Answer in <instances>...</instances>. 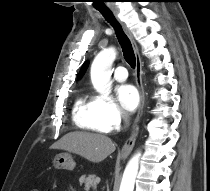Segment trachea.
I'll use <instances>...</instances> for the list:
<instances>
[{"label": "trachea", "instance_id": "3493384b", "mask_svg": "<svg viewBox=\"0 0 210 191\" xmlns=\"http://www.w3.org/2000/svg\"><path fill=\"white\" fill-rule=\"evenodd\" d=\"M98 10L105 17V19L108 22H110L112 24V26L114 27L116 36L118 38V41H119L122 51H123L124 59L132 68H134L135 64H136V57H135L133 47H132V44H131L128 36L125 34L121 25L115 19L114 15L112 14V12L109 9L101 8Z\"/></svg>", "mask_w": 210, "mask_h": 191}]
</instances>
